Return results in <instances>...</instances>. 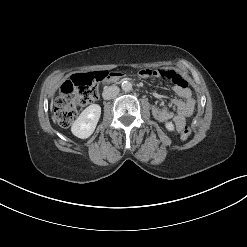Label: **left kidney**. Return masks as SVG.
Returning <instances> with one entry per match:
<instances>
[{
    "label": "left kidney",
    "instance_id": "left-kidney-1",
    "mask_svg": "<svg viewBox=\"0 0 247 247\" xmlns=\"http://www.w3.org/2000/svg\"><path fill=\"white\" fill-rule=\"evenodd\" d=\"M165 126H166L167 130L174 131V125L172 122H166Z\"/></svg>",
    "mask_w": 247,
    "mask_h": 247
}]
</instances>
